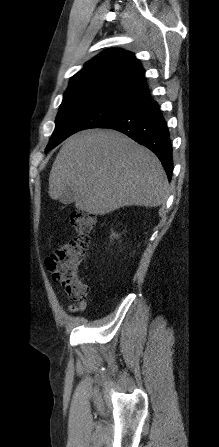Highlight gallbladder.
Returning a JSON list of instances; mask_svg holds the SVG:
<instances>
[{"label":"gallbladder","mask_w":219,"mask_h":447,"mask_svg":"<svg viewBox=\"0 0 219 447\" xmlns=\"http://www.w3.org/2000/svg\"><path fill=\"white\" fill-rule=\"evenodd\" d=\"M73 196H74L73 192H72L71 190H68V195L65 196V197H61V198L59 199V201H60L62 204L69 205V204H71V203L74 202Z\"/></svg>","instance_id":"gallbladder-1"}]
</instances>
